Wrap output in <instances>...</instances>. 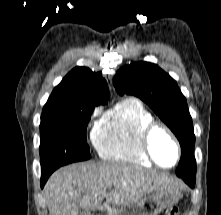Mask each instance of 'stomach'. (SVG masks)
<instances>
[{
  "mask_svg": "<svg viewBox=\"0 0 221 215\" xmlns=\"http://www.w3.org/2000/svg\"><path fill=\"white\" fill-rule=\"evenodd\" d=\"M181 192L177 188L156 190L142 198L140 201L121 206L117 215H158L164 209L179 202Z\"/></svg>",
  "mask_w": 221,
  "mask_h": 215,
  "instance_id": "0dacf381",
  "label": "stomach"
}]
</instances>
